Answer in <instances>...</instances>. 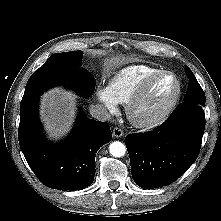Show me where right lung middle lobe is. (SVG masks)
<instances>
[{"label":"right lung middle lobe","mask_w":221,"mask_h":221,"mask_svg":"<svg viewBox=\"0 0 221 221\" xmlns=\"http://www.w3.org/2000/svg\"><path fill=\"white\" fill-rule=\"evenodd\" d=\"M82 55L81 51L51 55L29 78L20 108L38 98L48 88L58 84H66L81 95H91L96 83L92 75L78 68Z\"/></svg>","instance_id":"dd1d6c3e"}]
</instances>
